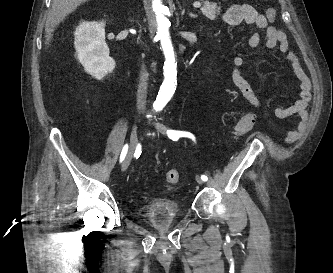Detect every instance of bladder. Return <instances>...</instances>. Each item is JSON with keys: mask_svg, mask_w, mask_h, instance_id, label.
<instances>
[{"mask_svg": "<svg viewBox=\"0 0 333 273\" xmlns=\"http://www.w3.org/2000/svg\"><path fill=\"white\" fill-rule=\"evenodd\" d=\"M138 213L154 227L170 226L181 217L178 204L173 200H157L138 206Z\"/></svg>", "mask_w": 333, "mask_h": 273, "instance_id": "bladder-1", "label": "bladder"}]
</instances>
